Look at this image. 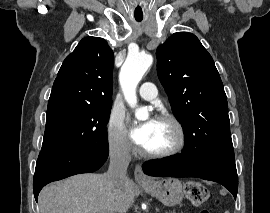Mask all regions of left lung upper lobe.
Segmentation results:
<instances>
[{
  "label": "left lung upper lobe",
  "instance_id": "obj_1",
  "mask_svg": "<svg viewBox=\"0 0 270 213\" xmlns=\"http://www.w3.org/2000/svg\"><path fill=\"white\" fill-rule=\"evenodd\" d=\"M157 73L185 143L201 154L233 151L227 97L211 55L198 38L177 32L157 48Z\"/></svg>",
  "mask_w": 270,
  "mask_h": 213
}]
</instances>
